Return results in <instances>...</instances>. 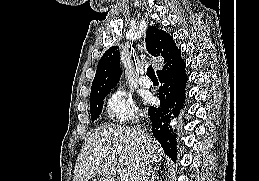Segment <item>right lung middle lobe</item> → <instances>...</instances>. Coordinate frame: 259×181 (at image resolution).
<instances>
[{"instance_id": "obj_1", "label": "right lung middle lobe", "mask_w": 259, "mask_h": 181, "mask_svg": "<svg viewBox=\"0 0 259 181\" xmlns=\"http://www.w3.org/2000/svg\"><path fill=\"white\" fill-rule=\"evenodd\" d=\"M109 92L90 98V112L92 121L96 120L102 112L103 101Z\"/></svg>"}]
</instances>
